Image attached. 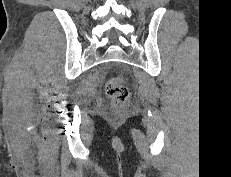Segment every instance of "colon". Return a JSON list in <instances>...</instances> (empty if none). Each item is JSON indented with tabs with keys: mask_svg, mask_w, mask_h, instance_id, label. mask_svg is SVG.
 <instances>
[{
	"mask_svg": "<svg viewBox=\"0 0 231 177\" xmlns=\"http://www.w3.org/2000/svg\"><path fill=\"white\" fill-rule=\"evenodd\" d=\"M106 94L111 98L114 108L121 110L130 98V91L121 77L108 80L105 86Z\"/></svg>",
	"mask_w": 231,
	"mask_h": 177,
	"instance_id": "5ec220e1",
	"label": "colon"
}]
</instances>
